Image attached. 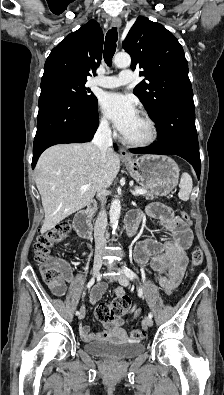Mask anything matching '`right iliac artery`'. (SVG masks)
Listing matches in <instances>:
<instances>
[{
	"label": "right iliac artery",
	"instance_id": "obj_1",
	"mask_svg": "<svg viewBox=\"0 0 224 395\" xmlns=\"http://www.w3.org/2000/svg\"><path fill=\"white\" fill-rule=\"evenodd\" d=\"M94 282H95V278L93 277L89 282H88V284H87V288H91L92 286H93V284H94ZM80 314V312L79 311H76V315H79Z\"/></svg>",
	"mask_w": 224,
	"mask_h": 395
}]
</instances>
